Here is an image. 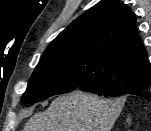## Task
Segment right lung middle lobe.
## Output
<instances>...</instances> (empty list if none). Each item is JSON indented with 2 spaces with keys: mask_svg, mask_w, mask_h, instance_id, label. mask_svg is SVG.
Returning a JSON list of instances; mask_svg holds the SVG:
<instances>
[{
  "mask_svg": "<svg viewBox=\"0 0 151 131\" xmlns=\"http://www.w3.org/2000/svg\"><path fill=\"white\" fill-rule=\"evenodd\" d=\"M88 78L94 85L107 87L93 57L63 42L47 48L28 82L21 102L33 104L77 88L76 80Z\"/></svg>",
  "mask_w": 151,
  "mask_h": 131,
  "instance_id": "1",
  "label": "right lung middle lobe"
}]
</instances>
